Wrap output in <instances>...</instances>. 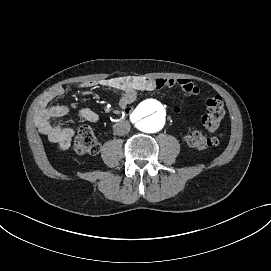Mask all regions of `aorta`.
I'll use <instances>...</instances> for the list:
<instances>
[{
  "label": "aorta",
  "mask_w": 271,
  "mask_h": 271,
  "mask_svg": "<svg viewBox=\"0 0 271 271\" xmlns=\"http://www.w3.org/2000/svg\"><path fill=\"white\" fill-rule=\"evenodd\" d=\"M132 119L141 131L156 133L165 125L166 110L158 101L147 99L136 107L132 114Z\"/></svg>",
  "instance_id": "762f6f07"
}]
</instances>
